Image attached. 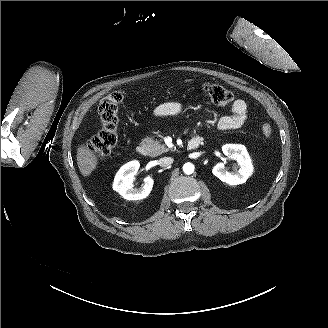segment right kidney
I'll return each mask as SVG.
<instances>
[{
    "label": "right kidney",
    "instance_id": "1",
    "mask_svg": "<svg viewBox=\"0 0 328 328\" xmlns=\"http://www.w3.org/2000/svg\"><path fill=\"white\" fill-rule=\"evenodd\" d=\"M139 167V162L133 160L121 166L115 175L113 189L127 200L146 198L152 190L154 181L150 176L144 179V185L141 188H134V176L137 174Z\"/></svg>",
    "mask_w": 328,
    "mask_h": 328
}]
</instances>
